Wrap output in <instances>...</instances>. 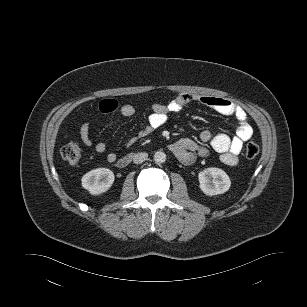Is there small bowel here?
I'll list each match as a JSON object with an SVG mask.
<instances>
[{"mask_svg":"<svg viewBox=\"0 0 307 307\" xmlns=\"http://www.w3.org/2000/svg\"><path fill=\"white\" fill-rule=\"evenodd\" d=\"M110 101H113L114 105ZM192 103H200L222 115L233 116L238 123L236 133L233 137H230L225 133L213 135L209 130H203L200 133L201 143L191 138H181L169 146L170 151L180 162L188 165L193 163L197 157L208 155L209 150L206 144H209L215 152L221 154V161L224 164L228 166L236 165L244 142L248 141L253 135V128L247 121L246 113L241 107L228 99L220 97L182 93L178 94L167 104H153L150 107L147 125L138 132L136 137L129 140L128 146L133 145L138 139L146 137L162 127L166 123L169 114L179 112L184 106ZM99 109L103 113L119 111L124 117H132L136 113L133 105L123 104L119 106L118 102L113 99L102 100L99 103ZM79 136L84 145L94 147L96 152H107V145L104 142H94L91 138L90 125L88 123H83L80 126ZM106 160L109 163H115L117 155L114 152H107Z\"/></svg>","mask_w":307,"mask_h":307,"instance_id":"1","label":"small bowel"}]
</instances>
